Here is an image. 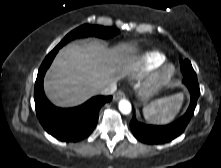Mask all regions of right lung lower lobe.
<instances>
[{
  "instance_id": "right-lung-lower-lobe-1",
  "label": "right lung lower lobe",
  "mask_w": 221,
  "mask_h": 168,
  "mask_svg": "<svg viewBox=\"0 0 221 168\" xmlns=\"http://www.w3.org/2000/svg\"><path fill=\"white\" fill-rule=\"evenodd\" d=\"M60 48L55 47L41 64L34 87L37 117L43 128L60 141L77 142L86 138L95 128L99 110L111 96H96L74 108H58L44 94L43 78Z\"/></svg>"
}]
</instances>
